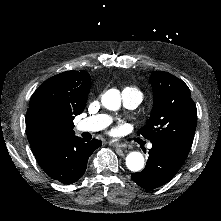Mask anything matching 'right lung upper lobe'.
Instances as JSON below:
<instances>
[{"label":"right lung upper lobe","instance_id":"obj_1","mask_svg":"<svg viewBox=\"0 0 221 221\" xmlns=\"http://www.w3.org/2000/svg\"><path fill=\"white\" fill-rule=\"evenodd\" d=\"M91 77L86 71H67L43 82L32 95L26 114V132L32 152L37 155L74 135V116L86 106ZM63 120L62 126L52 131L46 117Z\"/></svg>","mask_w":221,"mask_h":221}]
</instances>
